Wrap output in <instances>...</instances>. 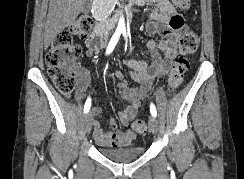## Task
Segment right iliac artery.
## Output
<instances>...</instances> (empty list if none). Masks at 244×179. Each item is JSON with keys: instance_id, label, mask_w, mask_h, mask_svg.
<instances>
[{"instance_id": "right-iliac-artery-1", "label": "right iliac artery", "mask_w": 244, "mask_h": 179, "mask_svg": "<svg viewBox=\"0 0 244 179\" xmlns=\"http://www.w3.org/2000/svg\"><path fill=\"white\" fill-rule=\"evenodd\" d=\"M120 35H121L120 32L114 33V35L112 36V38L108 44L106 54H110L113 51V49L115 48V46L120 38ZM90 107H91V99L88 98L84 105V113H87L89 111Z\"/></svg>"}]
</instances>
